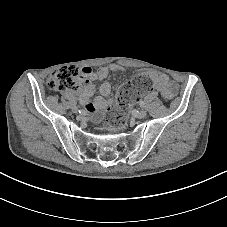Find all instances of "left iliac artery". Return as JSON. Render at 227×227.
<instances>
[{
    "label": "left iliac artery",
    "instance_id": "44dca946",
    "mask_svg": "<svg viewBox=\"0 0 227 227\" xmlns=\"http://www.w3.org/2000/svg\"><path fill=\"white\" fill-rule=\"evenodd\" d=\"M139 105L140 107H145V102L143 100H140Z\"/></svg>",
    "mask_w": 227,
    "mask_h": 227
}]
</instances>
